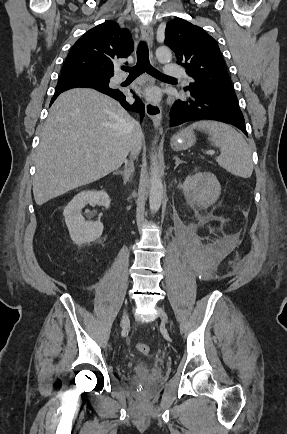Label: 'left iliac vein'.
<instances>
[{
  "instance_id": "left-iliac-vein-1",
  "label": "left iliac vein",
  "mask_w": 287,
  "mask_h": 434,
  "mask_svg": "<svg viewBox=\"0 0 287 434\" xmlns=\"http://www.w3.org/2000/svg\"><path fill=\"white\" fill-rule=\"evenodd\" d=\"M158 314L164 324H167L168 318L165 311L162 308H158Z\"/></svg>"
}]
</instances>
